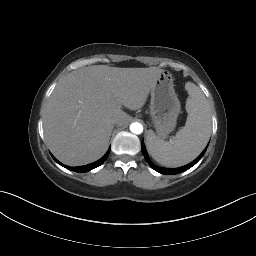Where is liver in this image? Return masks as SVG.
Segmentation results:
<instances>
[{"label":"liver","mask_w":256,"mask_h":256,"mask_svg":"<svg viewBox=\"0 0 256 256\" xmlns=\"http://www.w3.org/2000/svg\"><path fill=\"white\" fill-rule=\"evenodd\" d=\"M157 67L119 68L94 65L68 73L56 85L43 115L46 143L53 155L69 166L101 158L117 125L130 110L142 108L156 80Z\"/></svg>","instance_id":"liver-1"}]
</instances>
